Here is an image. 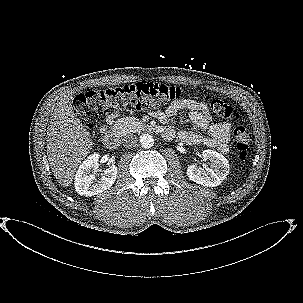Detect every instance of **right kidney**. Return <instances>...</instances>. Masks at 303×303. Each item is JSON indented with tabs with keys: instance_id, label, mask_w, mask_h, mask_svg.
<instances>
[{
	"instance_id": "obj_1",
	"label": "right kidney",
	"mask_w": 303,
	"mask_h": 303,
	"mask_svg": "<svg viewBox=\"0 0 303 303\" xmlns=\"http://www.w3.org/2000/svg\"><path fill=\"white\" fill-rule=\"evenodd\" d=\"M99 157L98 153H94L79 166L74 180L75 190L79 195L94 196L114 184L118 172L114 165L104 170L98 180H95L94 175L90 174L99 168Z\"/></svg>"
}]
</instances>
